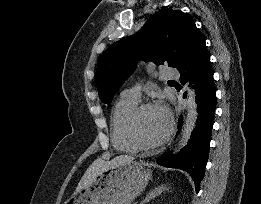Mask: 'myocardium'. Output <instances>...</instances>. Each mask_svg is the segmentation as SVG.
<instances>
[{
    "instance_id": "1",
    "label": "myocardium",
    "mask_w": 261,
    "mask_h": 204,
    "mask_svg": "<svg viewBox=\"0 0 261 204\" xmlns=\"http://www.w3.org/2000/svg\"><path fill=\"white\" fill-rule=\"evenodd\" d=\"M149 108H159L161 109L167 116L168 120V128L166 133L162 138L155 142H146L140 135L138 131V122L143 114L144 111H146ZM126 130L129 138L132 140V142L138 146L139 149H155L163 144H165L170 137L173 134L174 131V122L171 112L163 105L157 102L153 101H146L143 103H140L136 106V108L131 112V114L128 117L127 123H126Z\"/></svg>"
}]
</instances>
